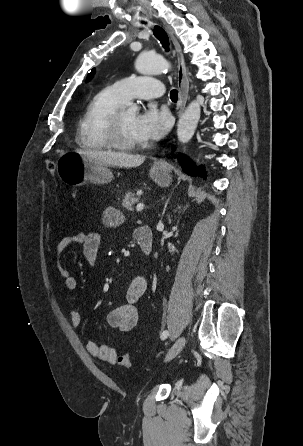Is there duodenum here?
I'll list each match as a JSON object with an SVG mask.
<instances>
[{"mask_svg":"<svg viewBox=\"0 0 303 446\" xmlns=\"http://www.w3.org/2000/svg\"><path fill=\"white\" fill-rule=\"evenodd\" d=\"M136 241L145 255H149L153 248V235L149 227H141L136 231Z\"/></svg>","mask_w":303,"mask_h":446,"instance_id":"duodenum-1","label":"duodenum"}]
</instances>
